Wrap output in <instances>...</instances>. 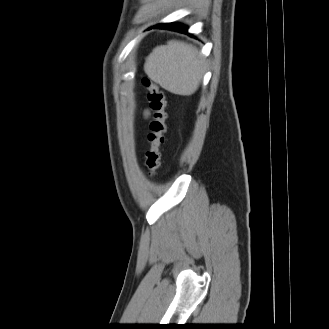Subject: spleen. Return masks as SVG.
Wrapping results in <instances>:
<instances>
[{
	"mask_svg": "<svg viewBox=\"0 0 329 329\" xmlns=\"http://www.w3.org/2000/svg\"><path fill=\"white\" fill-rule=\"evenodd\" d=\"M204 62L198 51L180 41L157 46L146 58L144 71L151 80L177 95H192L198 89Z\"/></svg>",
	"mask_w": 329,
	"mask_h": 329,
	"instance_id": "3e777b00",
	"label": "spleen"
}]
</instances>
